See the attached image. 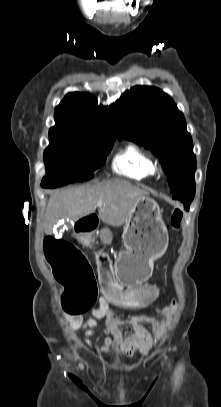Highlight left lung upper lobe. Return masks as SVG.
Listing matches in <instances>:
<instances>
[{"label":"left lung upper lobe","mask_w":221,"mask_h":407,"mask_svg":"<svg viewBox=\"0 0 221 407\" xmlns=\"http://www.w3.org/2000/svg\"><path fill=\"white\" fill-rule=\"evenodd\" d=\"M115 108L118 139L132 140L156 154L173 194L195 189L192 139L173 99L156 87L135 86Z\"/></svg>","instance_id":"left-lung-upper-lobe-1"}]
</instances>
